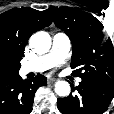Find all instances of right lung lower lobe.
Returning <instances> with one entry per match:
<instances>
[{"label": "right lung lower lobe", "mask_w": 114, "mask_h": 114, "mask_svg": "<svg viewBox=\"0 0 114 114\" xmlns=\"http://www.w3.org/2000/svg\"><path fill=\"white\" fill-rule=\"evenodd\" d=\"M46 84L47 79L43 75L23 80L18 73L0 82V114H29L36 90Z\"/></svg>", "instance_id": "98d812e1"}]
</instances>
